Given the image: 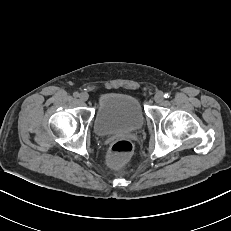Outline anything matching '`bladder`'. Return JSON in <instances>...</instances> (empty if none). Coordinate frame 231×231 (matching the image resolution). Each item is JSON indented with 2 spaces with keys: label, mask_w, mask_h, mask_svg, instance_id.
Wrapping results in <instances>:
<instances>
[{
  "label": "bladder",
  "mask_w": 231,
  "mask_h": 231,
  "mask_svg": "<svg viewBox=\"0 0 231 231\" xmlns=\"http://www.w3.org/2000/svg\"><path fill=\"white\" fill-rule=\"evenodd\" d=\"M145 115L139 101L127 94L103 95L96 107L93 128L98 135L132 132L139 129Z\"/></svg>",
  "instance_id": "31cf9c89"
}]
</instances>
